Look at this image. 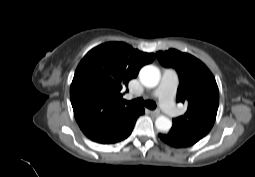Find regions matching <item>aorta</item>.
<instances>
[{
    "mask_svg": "<svg viewBox=\"0 0 255 177\" xmlns=\"http://www.w3.org/2000/svg\"><path fill=\"white\" fill-rule=\"evenodd\" d=\"M160 72L157 67L153 65L144 66L139 72L140 82L147 88H154L159 84ZM156 128L161 132H167L172 127V122L165 116L157 117L155 121Z\"/></svg>",
    "mask_w": 255,
    "mask_h": 177,
    "instance_id": "1",
    "label": "aorta"
}]
</instances>
